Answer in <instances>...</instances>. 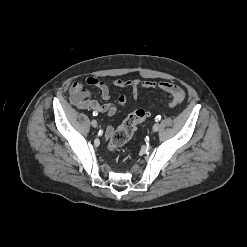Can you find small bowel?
<instances>
[{
  "instance_id": "obj_1",
  "label": "small bowel",
  "mask_w": 247,
  "mask_h": 247,
  "mask_svg": "<svg viewBox=\"0 0 247 247\" xmlns=\"http://www.w3.org/2000/svg\"><path fill=\"white\" fill-rule=\"evenodd\" d=\"M86 84L95 87L100 90L101 97L104 100L110 99V87H121V88H131L132 99L136 101L139 95V89H159L170 95L171 100L169 106L171 108H177L181 105L184 100L185 93L184 90L177 84L171 82H157L152 80H141V79H115L109 83L104 82L96 77H88L85 80ZM70 101L73 105L79 109L84 110H94L96 112L105 113L108 116H113L117 112V106L114 103L107 102L105 104H100L97 100L93 99L90 92L85 89L81 82H74L69 90ZM127 103V97L121 95L118 98V105L120 108H124ZM113 132V128L108 126L106 128V136L109 137Z\"/></svg>"
}]
</instances>
